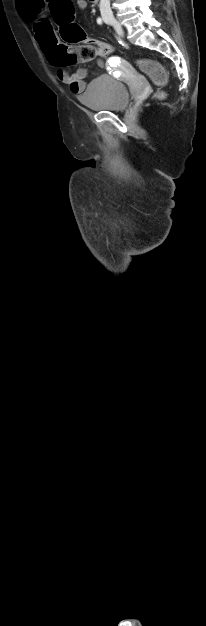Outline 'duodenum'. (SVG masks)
<instances>
[{
	"instance_id": "410a0bca",
	"label": "duodenum",
	"mask_w": 206,
	"mask_h": 626,
	"mask_svg": "<svg viewBox=\"0 0 206 626\" xmlns=\"http://www.w3.org/2000/svg\"><path fill=\"white\" fill-rule=\"evenodd\" d=\"M99 0H90L92 3H97Z\"/></svg>"
}]
</instances>
